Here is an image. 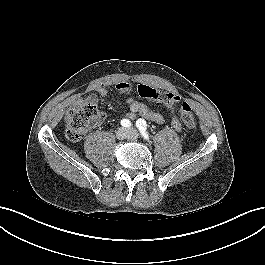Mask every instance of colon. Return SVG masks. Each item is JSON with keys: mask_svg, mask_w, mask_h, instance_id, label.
<instances>
[{"mask_svg": "<svg viewBox=\"0 0 265 265\" xmlns=\"http://www.w3.org/2000/svg\"><path fill=\"white\" fill-rule=\"evenodd\" d=\"M137 94L148 100L170 102L179 100L173 93H165L146 84L137 86ZM179 116L183 125L187 128L195 126V118L191 106L183 102L179 109ZM104 117V113L94 103L87 102L77 108L69 110L66 114V136L69 140L80 141L87 131Z\"/></svg>", "mask_w": 265, "mask_h": 265, "instance_id": "colon-1", "label": "colon"}]
</instances>
